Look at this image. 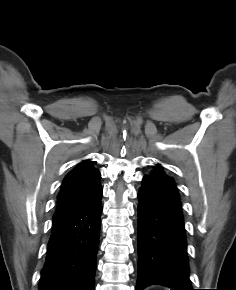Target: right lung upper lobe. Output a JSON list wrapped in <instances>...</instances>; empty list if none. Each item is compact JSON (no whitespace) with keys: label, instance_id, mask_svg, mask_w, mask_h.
<instances>
[{"label":"right lung upper lobe","instance_id":"right-lung-upper-lobe-1","mask_svg":"<svg viewBox=\"0 0 236 290\" xmlns=\"http://www.w3.org/2000/svg\"><path fill=\"white\" fill-rule=\"evenodd\" d=\"M101 193L100 172L92 166L91 161L80 162L63 180L53 218L90 204Z\"/></svg>","mask_w":236,"mask_h":290}]
</instances>
